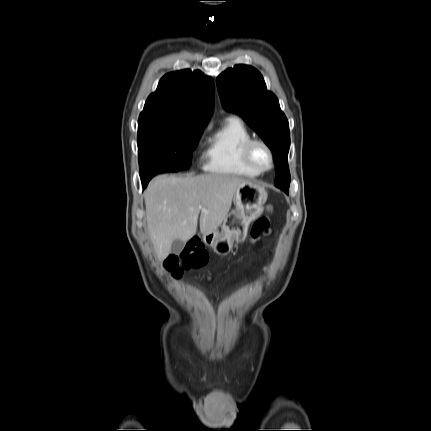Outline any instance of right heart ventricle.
<instances>
[{
	"label": "right heart ventricle",
	"mask_w": 431,
	"mask_h": 431,
	"mask_svg": "<svg viewBox=\"0 0 431 431\" xmlns=\"http://www.w3.org/2000/svg\"><path fill=\"white\" fill-rule=\"evenodd\" d=\"M252 135L237 117H228L209 139L204 169L208 172L256 177L260 173L250 168L242 158L244 144Z\"/></svg>",
	"instance_id": "1"
}]
</instances>
